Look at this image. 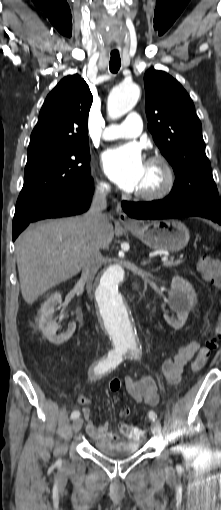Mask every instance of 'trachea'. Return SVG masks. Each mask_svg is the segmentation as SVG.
Segmentation results:
<instances>
[{"instance_id":"obj_1","label":"trachea","mask_w":221,"mask_h":510,"mask_svg":"<svg viewBox=\"0 0 221 510\" xmlns=\"http://www.w3.org/2000/svg\"><path fill=\"white\" fill-rule=\"evenodd\" d=\"M121 67V58L119 53L111 52L109 68L112 73H117Z\"/></svg>"}]
</instances>
